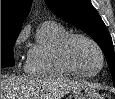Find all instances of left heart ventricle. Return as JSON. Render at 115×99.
<instances>
[{
	"label": "left heart ventricle",
	"instance_id": "obj_1",
	"mask_svg": "<svg viewBox=\"0 0 115 99\" xmlns=\"http://www.w3.org/2000/svg\"><path fill=\"white\" fill-rule=\"evenodd\" d=\"M71 56L75 64L85 72H94L99 68L100 57L92 44L85 40H75L71 45Z\"/></svg>",
	"mask_w": 115,
	"mask_h": 99
}]
</instances>
